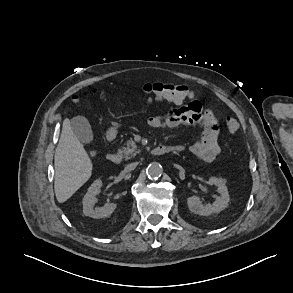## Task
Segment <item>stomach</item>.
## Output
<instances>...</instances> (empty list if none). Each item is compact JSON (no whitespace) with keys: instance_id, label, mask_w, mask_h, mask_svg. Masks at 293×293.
Returning a JSON list of instances; mask_svg holds the SVG:
<instances>
[{"instance_id":"stomach-1","label":"stomach","mask_w":293,"mask_h":293,"mask_svg":"<svg viewBox=\"0 0 293 293\" xmlns=\"http://www.w3.org/2000/svg\"><path fill=\"white\" fill-rule=\"evenodd\" d=\"M117 129V126L112 127L110 130L115 131Z\"/></svg>"}]
</instances>
